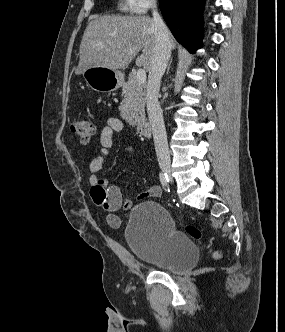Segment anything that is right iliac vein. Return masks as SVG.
I'll use <instances>...</instances> for the list:
<instances>
[{"label":"right iliac vein","mask_w":285,"mask_h":332,"mask_svg":"<svg viewBox=\"0 0 285 332\" xmlns=\"http://www.w3.org/2000/svg\"><path fill=\"white\" fill-rule=\"evenodd\" d=\"M161 169L164 173H166L171 178V167L167 164H162Z\"/></svg>","instance_id":"1"}]
</instances>
